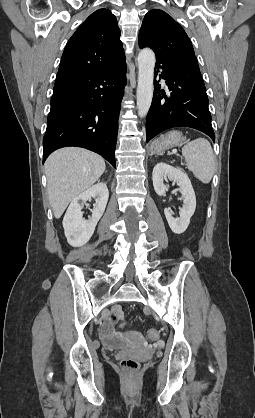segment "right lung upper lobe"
Returning <instances> with one entry per match:
<instances>
[{"label": "right lung upper lobe", "mask_w": 255, "mask_h": 418, "mask_svg": "<svg viewBox=\"0 0 255 418\" xmlns=\"http://www.w3.org/2000/svg\"><path fill=\"white\" fill-rule=\"evenodd\" d=\"M124 62L117 19L110 10L99 9L78 27L67 42L57 78L113 68Z\"/></svg>", "instance_id": "obj_1"}]
</instances>
